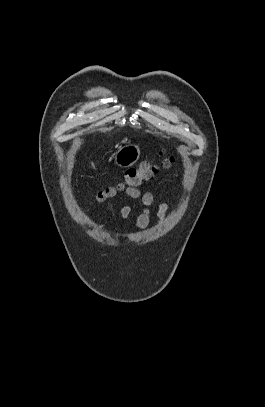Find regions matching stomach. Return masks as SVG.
Returning a JSON list of instances; mask_svg holds the SVG:
<instances>
[{
  "instance_id": "stomach-1",
  "label": "stomach",
  "mask_w": 265,
  "mask_h": 407,
  "mask_svg": "<svg viewBox=\"0 0 265 407\" xmlns=\"http://www.w3.org/2000/svg\"><path fill=\"white\" fill-rule=\"evenodd\" d=\"M141 152L138 145L128 144L121 147L115 154V164L120 167H130L140 158Z\"/></svg>"
}]
</instances>
